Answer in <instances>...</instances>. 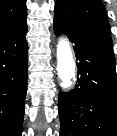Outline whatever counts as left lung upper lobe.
Returning a JSON list of instances; mask_svg holds the SVG:
<instances>
[{
	"mask_svg": "<svg viewBox=\"0 0 117 136\" xmlns=\"http://www.w3.org/2000/svg\"><path fill=\"white\" fill-rule=\"evenodd\" d=\"M54 17L89 30L107 34L110 32L101 0H57Z\"/></svg>",
	"mask_w": 117,
	"mask_h": 136,
	"instance_id": "1",
	"label": "left lung upper lobe"
}]
</instances>
